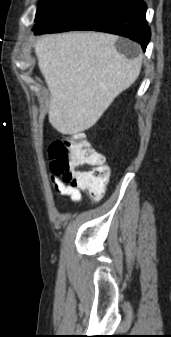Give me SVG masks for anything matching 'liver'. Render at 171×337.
<instances>
[{"instance_id":"6515ba94","label":"liver","mask_w":171,"mask_h":337,"mask_svg":"<svg viewBox=\"0 0 171 337\" xmlns=\"http://www.w3.org/2000/svg\"><path fill=\"white\" fill-rule=\"evenodd\" d=\"M116 40L96 32L51 34L37 40L38 66L50 91L49 122L59 133L91 128L139 76L142 59L119 53Z\"/></svg>"}]
</instances>
